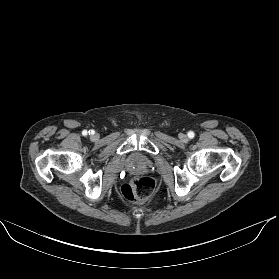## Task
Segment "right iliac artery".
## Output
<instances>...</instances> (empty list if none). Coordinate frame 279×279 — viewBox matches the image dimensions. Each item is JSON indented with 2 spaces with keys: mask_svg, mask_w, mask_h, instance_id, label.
Returning <instances> with one entry per match:
<instances>
[{
  "mask_svg": "<svg viewBox=\"0 0 279 279\" xmlns=\"http://www.w3.org/2000/svg\"><path fill=\"white\" fill-rule=\"evenodd\" d=\"M87 133H88V132H87L86 130H84V131L82 132L83 135H87ZM89 133H90V131H89Z\"/></svg>",
  "mask_w": 279,
  "mask_h": 279,
  "instance_id": "right-iliac-artery-1",
  "label": "right iliac artery"
}]
</instances>
